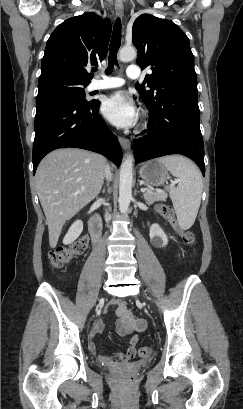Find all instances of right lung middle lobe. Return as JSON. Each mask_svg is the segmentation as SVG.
Instances as JSON below:
<instances>
[{
    "label": "right lung middle lobe",
    "instance_id": "right-lung-middle-lobe-1",
    "mask_svg": "<svg viewBox=\"0 0 243 409\" xmlns=\"http://www.w3.org/2000/svg\"><path fill=\"white\" fill-rule=\"evenodd\" d=\"M87 85L64 76L39 79L36 103L58 98L87 103L89 100H86L84 90Z\"/></svg>",
    "mask_w": 243,
    "mask_h": 409
}]
</instances>
